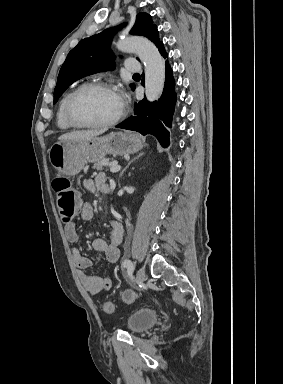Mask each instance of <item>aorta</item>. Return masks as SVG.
Segmentation results:
<instances>
[{
  "label": "aorta",
  "instance_id": "762f6f07",
  "mask_svg": "<svg viewBox=\"0 0 283 384\" xmlns=\"http://www.w3.org/2000/svg\"><path fill=\"white\" fill-rule=\"evenodd\" d=\"M121 52L136 53L145 65V95L148 101L157 100L165 81L164 59L156 46L142 37H127L117 43Z\"/></svg>",
  "mask_w": 283,
  "mask_h": 384
}]
</instances>
